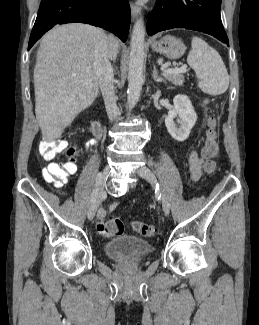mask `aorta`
<instances>
[{
  "mask_svg": "<svg viewBox=\"0 0 259 325\" xmlns=\"http://www.w3.org/2000/svg\"><path fill=\"white\" fill-rule=\"evenodd\" d=\"M145 26L142 18L133 27L130 43L127 101L134 106L141 94L144 68Z\"/></svg>",
  "mask_w": 259,
  "mask_h": 325,
  "instance_id": "aorta-1",
  "label": "aorta"
}]
</instances>
